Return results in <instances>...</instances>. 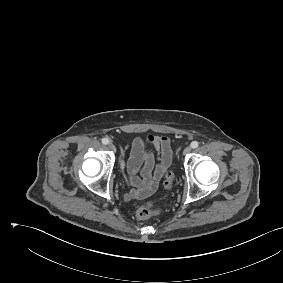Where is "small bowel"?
<instances>
[{"mask_svg": "<svg viewBox=\"0 0 283 283\" xmlns=\"http://www.w3.org/2000/svg\"><path fill=\"white\" fill-rule=\"evenodd\" d=\"M158 150V160L150 151L151 147ZM172 161L170 140L165 136H152L146 138L137 137L132 142L130 157L128 160L129 182L136 189L131 190L129 197L144 199L157 187L162 176L169 168ZM141 171L142 177L137 173Z\"/></svg>", "mask_w": 283, "mask_h": 283, "instance_id": "obj_1", "label": "small bowel"}]
</instances>
